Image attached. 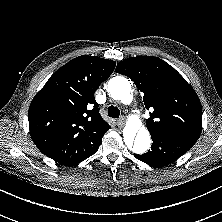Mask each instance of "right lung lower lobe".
I'll use <instances>...</instances> for the list:
<instances>
[{
	"mask_svg": "<svg viewBox=\"0 0 222 222\" xmlns=\"http://www.w3.org/2000/svg\"><path fill=\"white\" fill-rule=\"evenodd\" d=\"M99 146H100V145H99ZM99 146H98V147L95 149V151H94V152H93L91 155H93L94 153H96V152H97V150H98ZM91 155H89V156H91ZM89 156H88V157H89ZM88 157H87V158H88Z\"/></svg>",
	"mask_w": 222,
	"mask_h": 222,
	"instance_id": "obj_1",
	"label": "right lung lower lobe"
}]
</instances>
